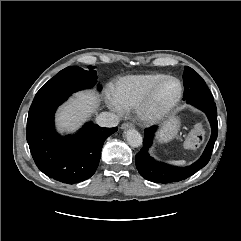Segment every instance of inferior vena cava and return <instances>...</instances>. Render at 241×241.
I'll return each mask as SVG.
<instances>
[{
	"instance_id": "obj_1",
	"label": "inferior vena cava",
	"mask_w": 241,
	"mask_h": 241,
	"mask_svg": "<svg viewBox=\"0 0 241 241\" xmlns=\"http://www.w3.org/2000/svg\"><path fill=\"white\" fill-rule=\"evenodd\" d=\"M96 123L101 127H115L119 124V118L111 112H102L96 117Z\"/></svg>"
}]
</instances>
